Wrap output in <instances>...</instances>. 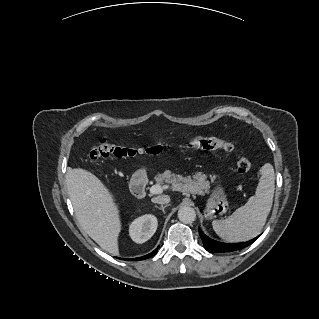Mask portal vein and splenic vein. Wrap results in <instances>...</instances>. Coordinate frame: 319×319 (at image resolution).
<instances>
[{
  "label": "portal vein and splenic vein",
  "mask_w": 319,
  "mask_h": 319,
  "mask_svg": "<svg viewBox=\"0 0 319 319\" xmlns=\"http://www.w3.org/2000/svg\"><path fill=\"white\" fill-rule=\"evenodd\" d=\"M150 194L155 195V194H160L162 193L163 189L160 184H155L150 188Z\"/></svg>",
  "instance_id": "18ae733b"
}]
</instances>
